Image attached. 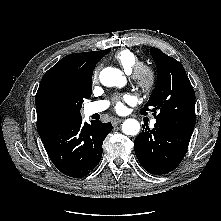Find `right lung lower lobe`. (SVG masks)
<instances>
[{"label": "right lung lower lobe", "mask_w": 221, "mask_h": 221, "mask_svg": "<svg viewBox=\"0 0 221 221\" xmlns=\"http://www.w3.org/2000/svg\"><path fill=\"white\" fill-rule=\"evenodd\" d=\"M112 131L111 123L82 119L41 137L49 158L63 174L81 178L100 162L102 144Z\"/></svg>", "instance_id": "right-lung-lower-lobe-1"}]
</instances>
